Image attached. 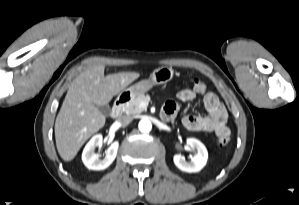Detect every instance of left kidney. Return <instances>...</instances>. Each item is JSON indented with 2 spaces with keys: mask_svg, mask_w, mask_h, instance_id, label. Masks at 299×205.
Listing matches in <instances>:
<instances>
[{
  "mask_svg": "<svg viewBox=\"0 0 299 205\" xmlns=\"http://www.w3.org/2000/svg\"><path fill=\"white\" fill-rule=\"evenodd\" d=\"M187 144L193 149H196L197 154L187 162L185 158L179 154L173 158L174 164L184 172L195 173L199 172L207 163L208 152L206 147L196 138H188Z\"/></svg>",
  "mask_w": 299,
  "mask_h": 205,
  "instance_id": "obj_1",
  "label": "left kidney"
}]
</instances>
